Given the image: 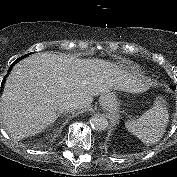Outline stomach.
<instances>
[{"label": "stomach", "instance_id": "0dacf381", "mask_svg": "<svg viewBox=\"0 0 177 177\" xmlns=\"http://www.w3.org/2000/svg\"><path fill=\"white\" fill-rule=\"evenodd\" d=\"M100 105L109 112H115L120 104L114 91H110L100 96Z\"/></svg>", "mask_w": 177, "mask_h": 177}]
</instances>
